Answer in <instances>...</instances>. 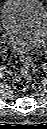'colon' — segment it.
I'll use <instances>...</instances> for the list:
<instances>
[{
    "mask_svg": "<svg viewBox=\"0 0 47 129\" xmlns=\"http://www.w3.org/2000/svg\"><path fill=\"white\" fill-rule=\"evenodd\" d=\"M31 60L27 55L22 57V68L13 80V86L18 91L28 89L31 82Z\"/></svg>",
    "mask_w": 47,
    "mask_h": 129,
    "instance_id": "5ec220e1",
    "label": "colon"
}]
</instances>
